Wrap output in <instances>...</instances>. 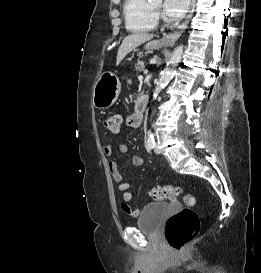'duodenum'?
Segmentation results:
<instances>
[{
	"mask_svg": "<svg viewBox=\"0 0 261 273\" xmlns=\"http://www.w3.org/2000/svg\"><path fill=\"white\" fill-rule=\"evenodd\" d=\"M147 98L145 96H141L137 99L135 104V113L133 114V126L138 127L141 125L143 120V113L147 106Z\"/></svg>",
	"mask_w": 261,
	"mask_h": 273,
	"instance_id": "410a0bca",
	"label": "duodenum"
}]
</instances>
